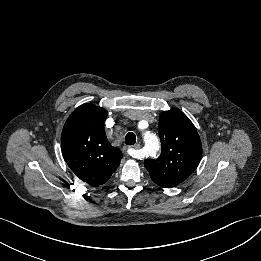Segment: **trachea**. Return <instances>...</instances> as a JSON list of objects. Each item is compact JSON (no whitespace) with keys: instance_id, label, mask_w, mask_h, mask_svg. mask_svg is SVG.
<instances>
[{"instance_id":"trachea-1","label":"trachea","mask_w":261,"mask_h":261,"mask_svg":"<svg viewBox=\"0 0 261 261\" xmlns=\"http://www.w3.org/2000/svg\"><path fill=\"white\" fill-rule=\"evenodd\" d=\"M136 143V136L134 133L129 132L125 136V144L126 145H134Z\"/></svg>"}]
</instances>
